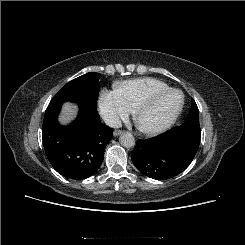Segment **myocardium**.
<instances>
[{
    "mask_svg": "<svg viewBox=\"0 0 245 245\" xmlns=\"http://www.w3.org/2000/svg\"><path fill=\"white\" fill-rule=\"evenodd\" d=\"M171 93H179L181 95V103L179 107L174 111V113H172L168 118L158 123L157 125L149 126V127L141 125L139 122V115L141 111L151 106L155 101ZM184 103H185L184 95L182 91H180L179 89L169 88L167 90L155 92L151 95L144 97L142 100H140L138 103L134 105V107L132 108L134 122L136 126L138 127V129L144 134H147V135L160 134L166 131L167 129H169L173 125V123L177 120V118L179 117V115L181 114L183 110Z\"/></svg>",
    "mask_w": 245,
    "mask_h": 245,
    "instance_id": "obj_1",
    "label": "myocardium"
}]
</instances>
